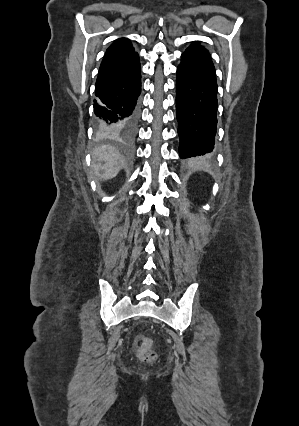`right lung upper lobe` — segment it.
<instances>
[{
	"instance_id": "obj_1",
	"label": "right lung upper lobe",
	"mask_w": 299,
	"mask_h": 426,
	"mask_svg": "<svg viewBox=\"0 0 299 426\" xmlns=\"http://www.w3.org/2000/svg\"><path fill=\"white\" fill-rule=\"evenodd\" d=\"M136 54L129 39L120 38L115 40L107 49L102 63L119 58L129 57Z\"/></svg>"
}]
</instances>
